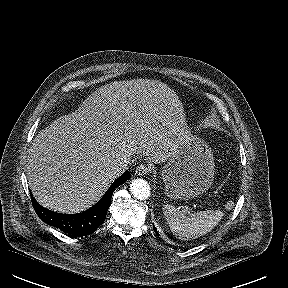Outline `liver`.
<instances>
[{"mask_svg": "<svg viewBox=\"0 0 288 288\" xmlns=\"http://www.w3.org/2000/svg\"><path fill=\"white\" fill-rule=\"evenodd\" d=\"M183 105L166 84L115 81L93 92L77 111L41 130L28 154L27 179L37 202L61 213L94 205L121 173V156L163 163L190 137Z\"/></svg>", "mask_w": 288, "mask_h": 288, "instance_id": "1", "label": "liver"}]
</instances>
